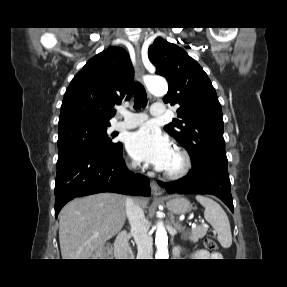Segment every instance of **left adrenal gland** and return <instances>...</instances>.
Listing matches in <instances>:
<instances>
[{"label":"left adrenal gland","instance_id":"1","mask_svg":"<svg viewBox=\"0 0 287 287\" xmlns=\"http://www.w3.org/2000/svg\"><path fill=\"white\" fill-rule=\"evenodd\" d=\"M170 220H171V223L174 224V226L178 229L181 228V224L179 222H176L175 223V220H174V215L173 214H170Z\"/></svg>","mask_w":287,"mask_h":287}]
</instances>
